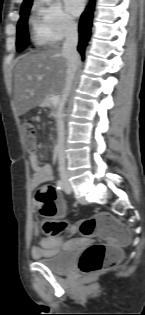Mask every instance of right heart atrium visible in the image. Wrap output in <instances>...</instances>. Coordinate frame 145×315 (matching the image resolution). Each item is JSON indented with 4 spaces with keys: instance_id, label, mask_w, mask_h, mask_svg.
<instances>
[{
    "instance_id": "right-heart-atrium-1",
    "label": "right heart atrium",
    "mask_w": 145,
    "mask_h": 315,
    "mask_svg": "<svg viewBox=\"0 0 145 315\" xmlns=\"http://www.w3.org/2000/svg\"><path fill=\"white\" fill-rule=\"evenodd\" d=\"M37 20L51 42H60L73 35L76 22L56 1H39L35 6Z\"/></svg>"
}]
</instances>
